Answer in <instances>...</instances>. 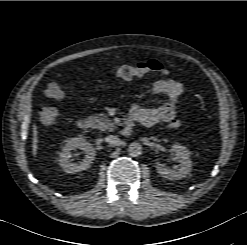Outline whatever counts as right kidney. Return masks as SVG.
Returning a JSON list of instances; mask_svg holds the SVG:
<instances>
[{
	"mask_svg": "<svg viewBox=\"0 0 247 245\" xmlns=\"http://www.w3.org/2000/svg\"><path fill=\"white\" fill-rule=\"evenodd\" d=\"M80 148L85 152V157L80 163L70 161V151ZM95 148L82 137H74L67 142L59 154L60 166L66 173H75L88 169L95 159Z\"/></svg>",
	"mask_w": 247,
	"mask_h": 245,
	"instance_id": "1",
	"label": "right kidney"
}]
</instances>
